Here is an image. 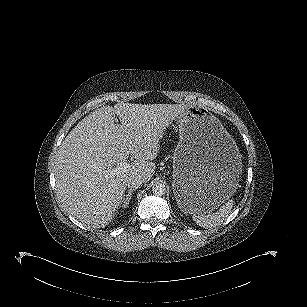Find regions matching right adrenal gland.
Returning a JSON list of instances; mask_svg holds the SVG:
<instances>
[{
    "label": "right adrenal gland",
    "mask_w": 307,
    "mask_h": 307,
    "mask_svg": "<svg viewBox=\"0 0 307 307\" xmlns=\"http://www.w3.org/2000/svg\"><path fill=\"white\" fill-rule=\"evenodd\" d=\"M135 191V189L129 190L127 195H125L123 201H122V207L127 208L129 205V202L131 201L132 193Z\"/></svg>",
    "instance_id": "right-adrenal-gland-1"
}]
</instances>
